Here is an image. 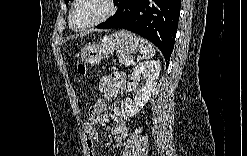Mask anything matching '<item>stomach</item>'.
<instances>
[{"instance_id":"stomach-1","label":"stomach","mask_w":247,"mask_h":156,"mask_svg":"<svg viewBox=\"0 0 247 156\" xmlns=\"http://www.w3.org/2000/svg\"><path fill=\"white\" fill-rule=\"evenodd\" d=\"M138 50H140L138 37L130 31L119 30L104 36L98 44L85 46L81 51V59L85 64L95 66L114 51L130 56Z\"/></svg>"}]
</instances>
